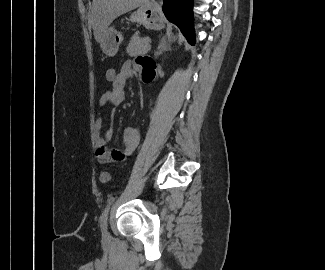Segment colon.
Instances as JSON below:
<instances>
[{
    "mask_svg": "<svg viewBox=\"0 0 325 270\" xmlns=\"http://www.w3.org/2000/svg\"><path fill=\"white\" fill-rule=\"evenodd\" d=\"M118 71L114 67H108L105 71L106 81L113 85L117 82ZM99 179L102 183H107L110 180V174L107 171H104L100 174Z\"/></svg>",
    "mask_w": 325,
    "mask_h": 270,
    "instance_id": "1",
    "label": "colon"
}]
</instances>
